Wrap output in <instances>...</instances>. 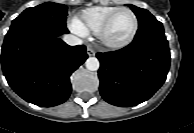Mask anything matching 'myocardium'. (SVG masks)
<instances>
[{
  "mask_svg": "<svg viewBox=\"0 0 194 133\" xmlns=\"http://www.w3.org/2000/svg\"><path fill=\"white\" fill-rule=\"evenodd\" d=\"M122 11H127L130 12L134 18V28L132 30V33L130 34V36L125 39L124 41L121 42H113L110 41L107 37V33L108 30L113 22V20L115 19V17ZM138 27H139V21H138V17L135 14V12L133 10H131L130 8L127 7H121L119 9H117L115 12H113L104 22V24L102 25V27L100 28L99 32L97 33L99 38L101 39V41L108 47L111 48H122L124 46H127L128 44H130L134 37L136 36V33L138 31Z\"/></svg>",
  "mask_w": 194,
  "mask_h": 133,
  "instance_id": "myocardium-1",
  "label": "myocardium"
}]
</instances>
